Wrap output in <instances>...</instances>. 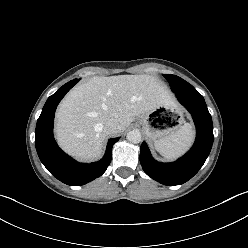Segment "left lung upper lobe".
Instances as JSON below:
<instances>
[{"mask_svg": "<svg viewBox=\"0 0 248 248\" xmlns=\"http://www.w3.org/2000/svg\"><path fill=\"white\" fill-rule=\"evenodd\" d=\"M164 77L169 82L174 93L196 92V89L191 84L176 75L164 74Z\"/></svg>", "mask_w": 248, "mask_h": 248, "instance_id": "obj_1", "label": "left lung upper lobe"}]
</instances>
